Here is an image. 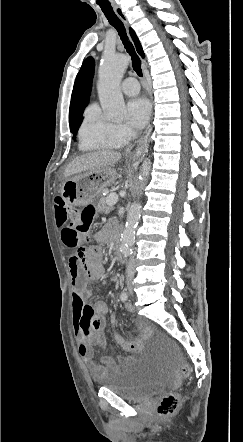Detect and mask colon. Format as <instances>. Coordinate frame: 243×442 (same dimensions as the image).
Returning a JSON list of instances; mask_svg holds the SVG:
<instances>
[{
    "mask_svg": "<svg viewBox=\"0 0 243 442\" xmlns=\"http://www.w3.org/2000/svg\"><path fill=\"white\" fill-rule=\"evenodd\" d=\"M55 220L57 227L62 228L61 239L63 244L69 249H77L72 256L79 259L84 250V243L87 241L90 226L94 219V209L88 205L82 209L71 207L66 200L57 196L54 199ZM181 371L184 376L190 373V367L183 363ZM179 406V397L171 392L164 396L157 406V413L161 417L174 414Z\"/></svg>",
    "mask_w": 243,
    "mask_h": 442,
    "instance_id": "colon-1",
    "label": "colon"
}]
</instances>
